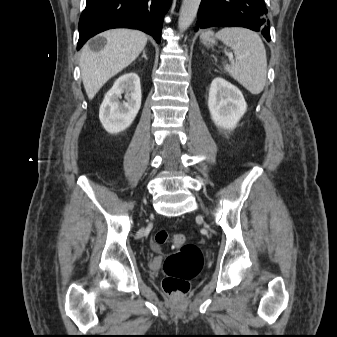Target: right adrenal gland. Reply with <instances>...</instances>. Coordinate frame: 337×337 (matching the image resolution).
<instances>
[{"instance_id":"obj_1","label":"right adrenal gland","mask_w":337,"mask_h":337,"mask_svg":"<svg viewBox=\"0 0 337 337\" xmlns=\"http://www.w3.org/2000/svg\"><path fill=\"white\" fill-rule=\"evenodd\" d=\"M142 57L145 58V59H148L147 56H146V54H145V51H143Z\"/></svg>"}]
</instances>
